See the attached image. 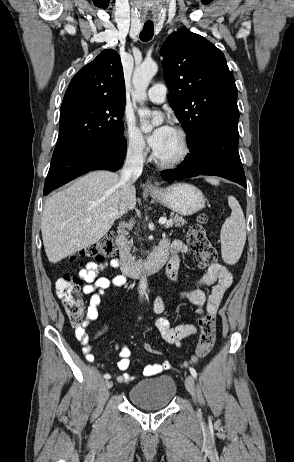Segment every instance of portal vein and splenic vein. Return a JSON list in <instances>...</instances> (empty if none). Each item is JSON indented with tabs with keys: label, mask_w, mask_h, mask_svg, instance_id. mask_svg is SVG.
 <instances>
[{
	"label": "portal vein and splenic vein",
	"mask_w": 294,
	"mask_h": 462,
	"mask_svg": "<svg viewBox=\"0 0 294 462\" xmlns=\"http://www.w3.org/2000/svg\"><path fill=\"white\" fill-rule=\"evenodd\" d=\"M171 221H168L166 218L162 217L159 219V224H169Z\"/></svg>",
	"instance_id": "1"
}]
</instances>
